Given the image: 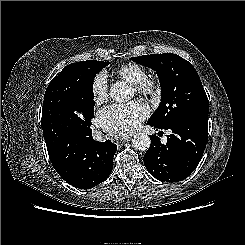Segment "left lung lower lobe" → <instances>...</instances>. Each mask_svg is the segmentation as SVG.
Segmentation results:
<instances>
[{"label": "left lung lower lobe", "mask_w": 245, "mask_h": 245, "mask_svg": "<svg viewBox=\"0 0 245 245\" xmlns=\"http://www.w3.org/2000/svg\"><path fill=\"white\" fill-rule=\"evenodd\" d=\"M167 143L162 144L156 135L150 136L151 146L144 155L147 171L156 179L177 182L187 178L199 164L208 138V115L196 114L168 127Z\"/></svg>", "instance_id": "obj_1"}]
</instances>
